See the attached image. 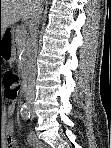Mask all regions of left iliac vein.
Here are the masks:
<instances>
[{"label": "left iliac vein", "instance_id": "left-iliac-vein-1", "mask_svg": "<svg viewBox=\"0 0 111 148\" xmlns=\"http://www.w3.org/2000/svg\"><path fill=\"white\" fill-rule=\"evenodd\" d=\"M31 118H34V113L32 110H31Z\"/></svg>", "mask_w": 111, "mask_h": 148}]
</instances>
